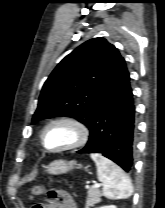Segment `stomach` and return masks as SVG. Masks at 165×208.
I'll return each mask as SVG.
<instances>
[{"mask_svg": "<svg viewBox=\"0 0 165 208\" xmlns=\"http://www.w3.org/2000/svg\"><path fill=\"white\" fill-rule=\"evenodd\" d=\"M75 167L76 163L74 161L67 162L64 160H55L48 166L47 172L50 174L58 175L67 173ZM79 167H81V165L77 166V168Z\"/></svg>", "mask_w": 165, "mask_h": 208, "instance_id": "0dacf381", "label": "stomach"}]
</instances>
